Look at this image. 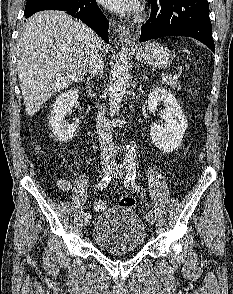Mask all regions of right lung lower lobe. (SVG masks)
Wrapping results in <instances>:
<instances>
[{
	"instance_id": "98d812e1",
	"label": "right lung lower lobe",
	"mask_w": 233,
	"mask_h": 294,
	"mask_svg": "<svg viewBox=\"0 0 233 294\" xmlns=\"http://www.w3.org/2000/svg\"><path fill=\"white\" fill-rule=\"evenodd\" d=\"M43 10H57L78 18L95 30L104 41L109 43V23L105 15L99 9L96 0H60L50 2L24 15L28 18L36 12Z\"/></svg>"
}]
</instances>
